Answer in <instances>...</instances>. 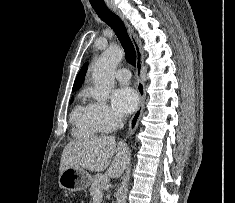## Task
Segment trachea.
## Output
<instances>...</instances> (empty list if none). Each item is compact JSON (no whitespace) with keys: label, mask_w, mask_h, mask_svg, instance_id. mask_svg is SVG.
<instances>
[{"label":"trachea","mask_w":235,"mask_h":203,"mask_svg":"<svg viewBox=\"0 0 235 203\" xmlns=\"http://www.w3.org/2000/svg\"><path fill=\"white\" fill-rule=\"evenodd\" d=\"M93 9L97 13V15L108 24L117 35L126 55V60L129 64L135 66L136 64V51L134 45L127 33L126 27L123 21L112 11L108 9V7L103 4H92Z\"/></svg>","instance_id":"trachea-1"}]
</instances>
